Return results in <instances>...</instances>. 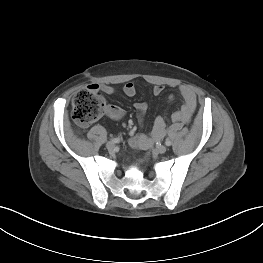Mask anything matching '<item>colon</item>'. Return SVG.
<instances>
[{
    "label": "colon",
    "mask_w": 263,
    "mask_h": 263,
    "mask_svg": "<svg viewBox=\"0 0 263 263\" xmlns=\"http://www.w3.org/2000/svg\"><path fill=\"white\" fill-rule=\"evenodd\" d=\"M106 109L103 96L95 88L81 90L73 98V118L82 127L89 126L101 118Z\"/></svg>",
    "instance_id": "obj_1"
}]
</instances>
